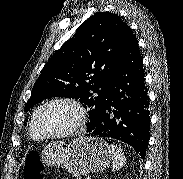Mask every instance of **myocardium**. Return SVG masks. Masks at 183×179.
Returning a JSON list of instances; mask_svg holds the SVG:
<instances>
[{"label": "myocardium", "instance_id": "f54148a6", "mask_svg": "<svg viewBox=\"0 0 183 179\" xmlns=\"http://www.w3.org/2000/svg\"><path fill=\"white\" fill-rule=\"evenodd\" d=\"M56 103H64L72 106L77 112V121L75 125L67 131H64L61 133H55V134H48V133H45L41 127V118L44 111L49 106ZM85 122H86V111L84 106L78 100L70 97H57L47 101L40 107L36 117V129L38 133L42 136V138L59 139V138H65V137H70L75 135L83 128V126L85 125Z\"/></svg>", "mask_w": 183, "mask_h": 179}]
</instances>
